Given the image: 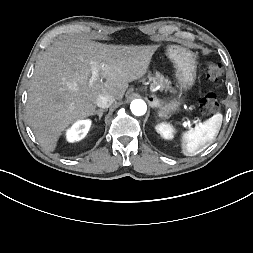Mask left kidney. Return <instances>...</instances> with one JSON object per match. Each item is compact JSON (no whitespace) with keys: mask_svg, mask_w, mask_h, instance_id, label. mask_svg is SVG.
I'll return each instance as SVG.
<instances>
[{"mask_svg":"<svg viewBox=\"0 0 253 253\" xmlns=\"http://www.w3.org/2000/svg\"><path fill=\"white\" fill-rule=\"evenodd\" d=\"M156 130L165 139H172L173 138V129L169 124L161 123L156 126Z\"/></svg>","mask_w":253,"mask_h":253,"instance_id":"left-kidney-1","label":"left kidney"}]
</instances>
